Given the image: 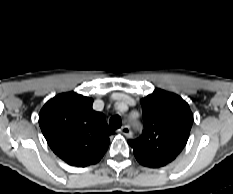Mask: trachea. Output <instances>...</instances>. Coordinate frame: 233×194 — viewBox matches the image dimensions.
<instances>
[{"mask_svg": "<svg viewBox=\"0 0 233 194\" xmlns=\"http://www.w3.org/2000/svg\"><path fill=\"white\" fill-rule=\"evenodd\" d=\"M109 125L111 129H118L121 127L122 123H121V118L119 116H113L110 120H109Z\"/></svg>", "mask_w": 233, "mask_h": 194, "instance_id": "trachea-1", "label": "trachea"}]
</instances>
